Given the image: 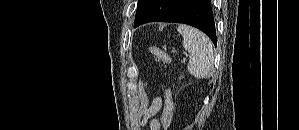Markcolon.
Wrapping results in <instances>:
<instances>
[{
  "label": "colon",
  "mask_w": 299,
  "mask_h": 130,
  "mask_svg": "<svg viewBox=\"0 0 299 130\" xmlns=\"http://www.w3.org/2000/svg\"><path fill=\"white\" fill-rule=\"evenodd\" d=\"M148 52L152 54L158 61H161L165 64H169L170 62L169 56L165 51H163L159 47L150 46L148 48ZM164 99H165V106L162 115V124L164 130H168L171 126L172 117H173V100H172L171 92L169 90L165 91Z\"/></svg>",
  "instance_id": "5ec220e1"
}]
</instances>
